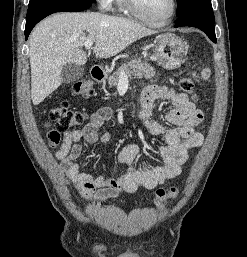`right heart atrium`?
I'll return each mask as SVG.
<instances>
[{
    "mask_svg": "<svg viewBox=\"0 0 247 257\" xmlns=\"http://www.w3.org/2000/svg\"><path fill=\"white\" fill-rule=\"evenodd\" d=\"M100 8L105 11H109L113 7L115 0H97Z\"/></svg>",
    "mask_w": 247,
    "mask_h": 257,
    "instance_id": "1",
    "label": "right heart atrium"
}]
</instances>
